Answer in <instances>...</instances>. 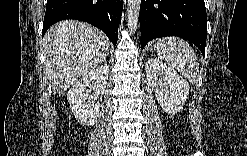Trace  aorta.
I'll use <instances>...</instances> for the list:
<instances>
[{"label":"aorta","instance_id":"1","mask_svg":"<svg viewBox=\"0 0 247 156\" xmlns=\"http://www.w3.org/2000/svg\"><path fill=\"white\" fill-rule=\"evenodd\" d=\"M141 0H128V27L131 32H135L138 25Z\"/></svg>","mask_w":247,"mask_h":156}]
</instances>
